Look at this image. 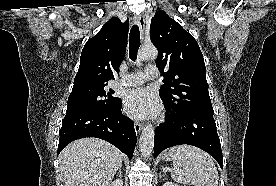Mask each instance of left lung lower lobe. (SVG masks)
Returning <instances> with one entry per match:
<instances>
[{"mask_svg":"<svg viewBox=\"0 0 276 186\" xmlns=\"http://www.w3.org/2000/svg\"><path fill=\"white\" fill-rule=\"evenodd\" d=\"M165 106V105H164ZM166 120L155 131L154 157L164 149L188 144L209 153L223 168L220 139L213 118V109L175 113L166 106Z\"/></svg>","mask_w":276,"mask_h":186,"instance_id":"obj_1","label":"left lung lower lobe"}]
</instances>
